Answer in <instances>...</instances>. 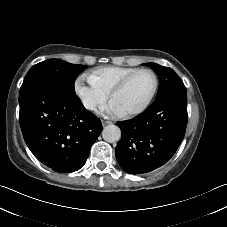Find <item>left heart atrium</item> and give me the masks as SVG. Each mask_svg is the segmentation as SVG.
I'll list each match as a JSON object with an SVG mask.
<instances>
[{
    "label": "left heart atrium",
    "instance_id": "39dd6f15",
    "mask_svg": "<svg viewBox=\"0 0 227 227\" xmlns=\"http://www.w3.org/2000/svg\"><path fill=\"white\" fill-rule=\"evenodd\" d=\"M103 111L112 116H123L126 112L124 109L114 100H111V102L108 104V106L103 109Z\"/></svg>",
    "mask_w": 227,
    "mask_h": 227
}]
</instances>
